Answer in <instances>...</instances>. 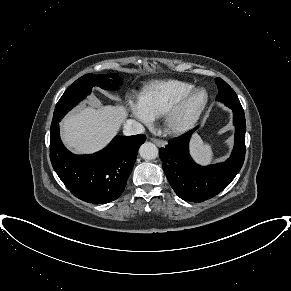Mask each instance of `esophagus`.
I'll list each match as a JSON object with an SVG mask.
<instances>
[{"label":"esophagus","mask_w":291,"mask_h":291,"mask_svg":"<svg viewBox=\"0 0 291 291\" xmlns=\"http://www.w3.org/2000/svg\"><path fill=\"white\" fill-rule=\"evenodd\" d=\"M151 141H152L154 144H156L157 146H164V145H165V143H164L162 140L157 139V138H151Z\"/></svg>","instance_id":"esophagus-1"}]
</instances>
